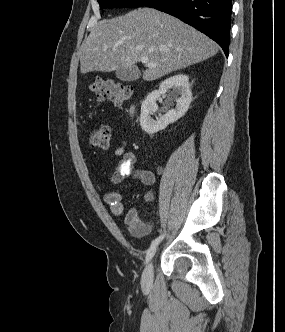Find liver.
Returning <instances> with one entry per match:
<instances>
[{
  "mask_svg": "<svg viewBox=\"0 0 285 332\" xmlns=\"http://www.w3.org/2000/svg\"><path fill=\"white\" fill-rule=\"evenodd\" d=\"M218 49L214 41L179 19L139 8L93 26L79 51L80 70L111 72L148 57L157 66L143 71V79L153 81L204 61Z\"/></svg>",
  "mask_w": 285,
  "mask_h": 332,
  "instance_id": "6515ba94",
  "label": "liver"
}]
</instances>
